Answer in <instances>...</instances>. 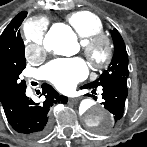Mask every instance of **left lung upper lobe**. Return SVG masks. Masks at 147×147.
Here are the masks:
<instances>
[{"label":"left lung upper lobe","instance_id":"5c2ea615","mask_svg":"<svg viewBox=\"0 0 147 147\" xmlns=\"http://www.w3.org/2000/svg\"><path fill=\"white\" fill-rule=\"evenodd\" d=\"M110 32L112 35L113 44H114V52H115L113 59L110 63L109 68L105 70L97 80L89 84H86L87 86L91 88H97L103 82L111 80V79L129 76L128 55H127L124 41L116 29L111 30Z\"/></svg>","mask_w":147,"mask_h":147}]
</instances>
